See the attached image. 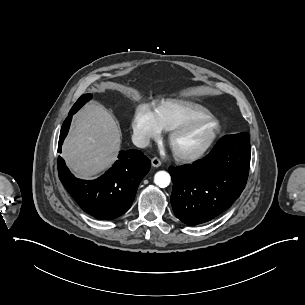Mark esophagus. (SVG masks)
Masks as SVG:
<instances>
[{
  "label": "esophagus",
  "mask_w": 305,
  "mask_h": 305,
  "mask_svg": "<svg viewBox=\"0 0 305 305\" xmlns=\"http://www.w3.org/2000/svg\"><path fill=\"white\" fill-rule=\"evenodd\" d=\"M152 165L154 166V167H159V166H161V161H160V159L158 158V157H154L153 159H152Z\"/></svg>",
  "instance_id": "obj_1"
}]
</instances>
